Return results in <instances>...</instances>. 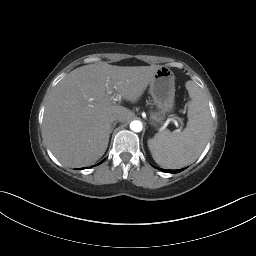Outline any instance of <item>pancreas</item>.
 Here are the masks:
<instances>
[{
	"instance_id": "cf45deb5",
	"label": "pancreas",
	"mask_w": 256,
	"mask_h": 256,
	"mask_svg": "<svg viewBox=\"0 0 256 256\" xmlns=\"http://www.w3.org/2000/svg\"><path fill=\"white\" fill-rule=\"evenodd\" d=\"M162 120H163V117L160 116L159 113H152V114H151V121H152L153 124H155V123H161Z\"/></svg>"
}]
</instances>
